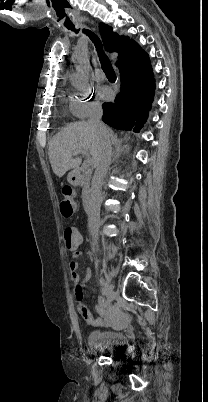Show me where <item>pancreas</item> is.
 <instances>
[{"instance_id": "cf45deb5", "label": "pancreas", "mask_w": 208, "mask_h": 402, "mask_svg": "<svg viewBox=\"0 0 208 402\" xmlns=\"http://www.w3.org/2000/svg\"><path fill=\"white\" fill-rule=\"evenodd\" d=\"M82 172H85V170H82ZM86 174H91V172H86ZM88 194H89V184L88 182H84L82 190V198H85V196H88Z\"/></svg>"}]
</instances>
